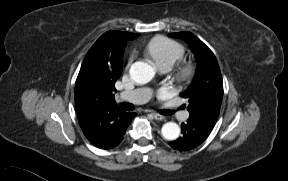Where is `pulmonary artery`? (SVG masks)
Masks as SVG:
<instances>
[{"label": "pulmonary artery", "instance_id": "e3ab8cb5", "mask_svg": "<svg viewBox=\"0 0 288 181\" xmlns=\"http://www.w3.org/2000/svg\"><path fill=\"white\" fill-rule=\"evenodd\" d=\"M158 69L161 72H167L171 69V67L168 65H162V66H159ZM151 96H152V92L148 88L127 90V91H123L120 94V98L122 100L128 101L130 103H134V104L144 103L148 101L151 98ZM188 116L189 114L186 112L181 114V118L184 120H186Z\"/></svg>", "mask_w": 288, "mask_h": 181}]
</instances>
